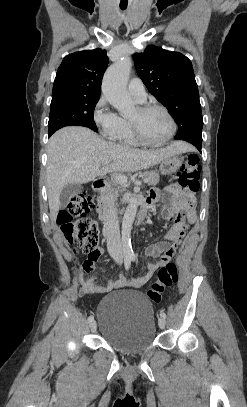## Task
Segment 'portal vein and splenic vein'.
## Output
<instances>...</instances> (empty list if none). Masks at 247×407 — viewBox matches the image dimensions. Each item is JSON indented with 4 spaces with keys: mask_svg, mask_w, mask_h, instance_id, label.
<instances>
[{
    "mask_svg": "<svg viewBox=\"0 0 247 407\" xmlns=\"http://www.w3.org/2000/svg\"><path fill=\"white\" fill-rule=\"evenodd\" d=\"M108 164H109V161H106V162L103 163V165H108ZM114 179H115L116 182L121 183V184H125L128 181V178L126 176H124V175H116L114 177ZM147 181L148 180L146 178H144V182H147Z\"/></svg>",
    "mask_w": 247,
    "mask_h": 407,
    "instance_id": "portal-vein-and-splenic-vein-1",
    "label": "portal vein and splenic vein"
}]
</instances>
